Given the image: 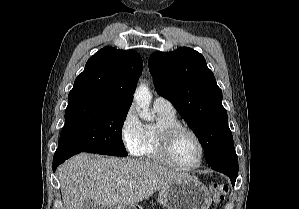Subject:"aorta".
Returning <instances> with one entry per match:
<instances>
[{
  "label": "aorta",
  "instance_id": "obj_1",
  "mask_svg": "<svg viewBox=\"0 0 299 209\" xmlns=\"http://www.w3.org/2000/svg\"><path fill=\"white\" fill-rule=\"evenodd\" d=\"M152 95L149 91V88L145 84H141L137 87L134 93V101L141 108L139 113L140 118L143 120L152 122L154 117L149 112V106L151 103Z\"/></svg>",
  "mask_w": 299,
  "mask_h": 209
}]
</instances>
